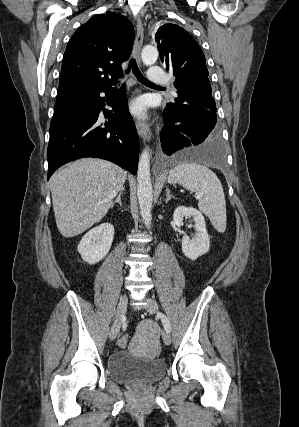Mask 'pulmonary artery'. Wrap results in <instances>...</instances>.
Masks as SVG:
<instances>
[{"label":"pulmonary artery","mask_w":299,"mask_h":427,"mask_svg":"<svg viewBox=\"0 0 299 427\" xmlns=\"http://www.w3.org/2000/svg\"><path fill=\"white\" fill-rule=\"evenodd\" d=\"M148 79L157 83H167L166 74L160 66H152L148 71ZM172 94H175L174 91Z\"/></svg>","instance_id":"e3ab8cb5"}]
</instances>
